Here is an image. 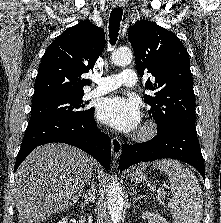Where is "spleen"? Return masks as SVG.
Segmentation results:
<instances>
[{
    "label": "spleen",
    "instance_id": "spleen-1",
    "mask_svg": "<svg viewBox=\"0 0 221 223\" xmlns=\"http://www.w3.org/2000/svg\"><path fill=\"white\" fill-rule=\"evenodd\" d=\"M153 165L169 177L172 198L168 206L174 223H201L203 196L197 177L176 160H159Z\"/></svg>",
    "mask_w": 221,
    "mask_h": 223
}]
</instances>
